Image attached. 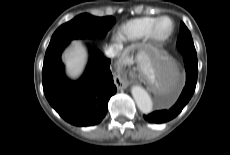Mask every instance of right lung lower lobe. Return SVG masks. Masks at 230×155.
I'll use <instances>...</instances> for the list:
<instances>
[{"label":"right lung lower lobe","mask_w":230,"mask_h":155,"mask_svg":"<svg viewBox=\"0 0 230 155\" xmlns=\"http://www.w3.org/2000/svg\"><path fill=\"white\" fill-rule=\"evenodd\" d=\"M69 44L47 48L42 69L44 94L50 105L67 122L76 126H91L102 121L107 103L116 93L110 71V59L92 49L83 76L76 82L64 74L61 53Z\"/></svg>","instance_id":"98d812e1"}]
</instances>
